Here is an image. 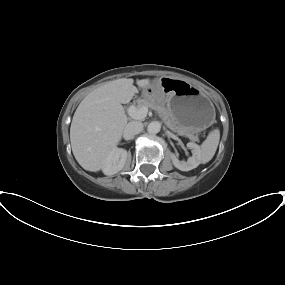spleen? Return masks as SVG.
<instances>
[{"instance_id": "obj_1", "label": "spleen", "mask_w": 285, "mask_h": 285, "mask_svg": "<svg viewBox=\"0 0 285 285\" xmlns=\"http://www.w3.org/2000/svg\"><path fill=\"white\" fill-rule=\"evenodd\" d=\"M219 140H220L219 129H214L208 134L206 140L201 145L202 163H207L213 158L217 150Z\"/></svg>"}]
</instances>
